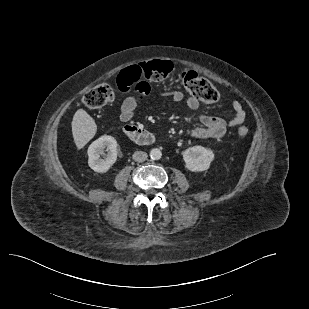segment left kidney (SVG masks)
<instances>
[{
	"label": "left kidney",
	"mask_w": 309,
	"mask_h": 309,
	"mask_svg": "<svg viewBox=\"0 0 309 309\" xmlns=\"http://www.w3.org/2000/svg\"><path fill=\"white\" fill-rule=\"evenodd\" d=\"M183 160L188 170L202 172L209 168L214 160V153L202 146H193L183 152Z\"/></svg>",
	"instance_id": "1"
}]
</instances>
